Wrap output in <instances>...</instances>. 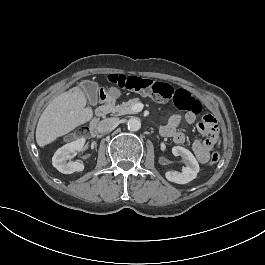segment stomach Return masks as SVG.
<instances>
[{
  "instance_id": "0dacf381",
  "label": "stomach",
  "mask_w": 265,
  "mask_h": 265,
  "mask_svg": "<svg viewBox=\"0 0 265 265\" xmlns=\"http://www.w3.org/2000/svg\"><path fill=\"white\" fill-rule=\"evenodd\" d=\"M107 93H108L110 96L114 97L115 99H119V98L122 96V93H121L119 90H117V89H115V88H113V87H110V88L107 90Z\"/></svg>"
}]
</instances>
